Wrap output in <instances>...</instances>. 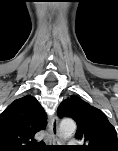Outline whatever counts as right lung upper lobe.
I'll list each match as a JSON object with an SVG mask.
<instances>
[{
    "label": "right lung upper lobe",
    "mask_w": 118,
    "mask_h": 151,
    "mask_svg": "<svg viewBox=\"0 0 118 151\" xmlns=\"http://www.w3.org/2000/svg\"><path fill=\"white\" fill-rule=\"evenodd\" d=\"M46 125L47 115L34 97L16 99L0 115V151L34 149V136Z\"/></svg>",
    "instance_id": "obj_1"
}]
</instances>
